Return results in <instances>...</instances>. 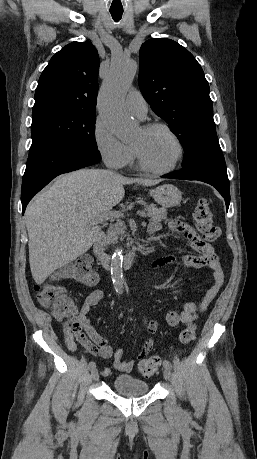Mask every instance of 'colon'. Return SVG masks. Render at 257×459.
Wrapping results in <instances>:
<instances>
[{
  "label": "colon",
  "mask_w": 257,
  "mask_h": 459,
  "mask_svg": "<svg viewBox=\"0 0 257 459\" xmlns=\"http://www.w3.org/2000/svg\"><path fill=\"white\" fill-rule=\"evenodd\" d=\"M193 218L198 231L208 242H214L219 236L218 228L212 222L210 203L201 198L196 202ZM60 278L71 279L84 284H94L97 276L92 269V261L87 256H81L74 262L63 266L57 272ZM38 303L46 308H51L54 315L60 319L70 318L74 320L78 313L75 301L68 295L62 285L53 280L37 283L34 287ZM197 337V329L194 324H188L180 333V341L184 344L191 343ZM161 359L157 355L143 359L138 366L139 372L145 376H152L160 367Z\"/></svg>",
  "instance_id": "colon-1"
}]
</instances>
